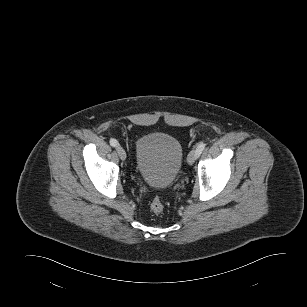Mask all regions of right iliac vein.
<instances>
[{
  "label": "right iliac vein",
  "instance_id": "1",
  "mask_svg": "<svg viewBox=\"0 0 307 307\" xmlns=\"http://www.w3.org/2000/svg\"><path fill=\"white\" fill-rule=\"evenodd\" d=\"M116 150H117V153H118L120 159L121 160H125L126 159V152H125V150L121 146H117Z\"/></svg>",
  "mask_w": 307,
  "mask_h": 307
}]
</instances>
